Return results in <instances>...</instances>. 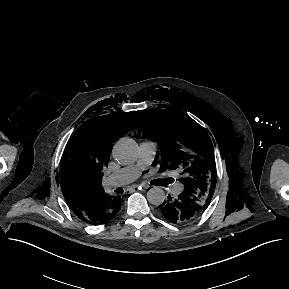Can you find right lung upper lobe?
<instances>
[{
	"label": "right lung upper lobe",
	"mask_w": 289,
	"mask_h": 289,
	"mask_svg": "<svg viewBox=\"0 0 289 289\" xmlns=\"http://www.w3.org/2000/svg\"><path fill=\"white\" fill-rule=\"evenodd\" d=\"M134 124L129 114L113 112L88 119L71 136L63 154L59 178L65 200L77 216L90 211L106 194L102 177L112 144L133 130Z\"/></svg>",
	"instance_id": "obj_1"
}]
</instances>
